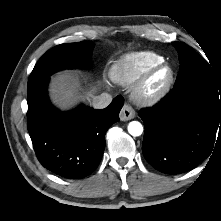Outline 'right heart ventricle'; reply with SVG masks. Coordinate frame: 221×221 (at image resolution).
<instances>
[{
    "label": "right heart ventricle",
    "mask_w": 221,
    "mask_h": 221,
    "mask_svg": "<svg viewBox=\"0 0 221 221\" xmlns=\"http://www.w3.org/2000/svg\"><path fill=\"white\" fill-rule=\"evenodd\" d=\"M163 61V56L152 51L128 53L112 65L110 76L116 83L130 86L136 83L149 68Z\"/></svg>",
    "instance_id": "obj_1"
}]
</instances>
